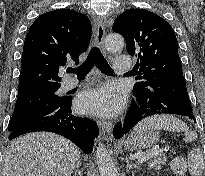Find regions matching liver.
I'll return each instance as SVG.
<instances>
[{"instance_id": "1", "label": "liver", "mask_w": 205, "mask_h": 176, "mask_svg": "<svg viewBox=\"0 0 205 176\" xmlns=\"http://www.w3.org/2000/svg\"><path fill=\"white\" fill-rule=\"evenodd\" d=\"M80 149L49 132H33L11 142L3 157V176H71Z\"/></svg>"}]
</instances>
